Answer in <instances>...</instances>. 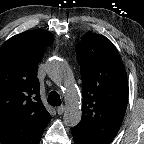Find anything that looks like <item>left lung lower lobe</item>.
Segmentation results:
<instances>
[{
	"mask_svg": "<svg viewBox=\"0 0 144 144\" xmlns=\"http://www.w3.org/2000/svg\"><path fill=\"white\" fill-rule=\"evenodd\" d=\"M72 135H73L75 144H109V143L96 142V141L87 139L82 134L74 130H72Z\"/></svg>",
	"mask_w": 144,
	"mask_h": 144,
	"instance_id": "obj_1",
	"label": "left lung lower lobe"
}]
</instances>
